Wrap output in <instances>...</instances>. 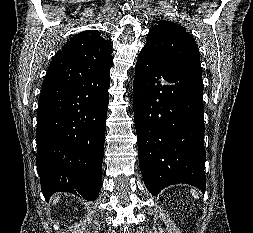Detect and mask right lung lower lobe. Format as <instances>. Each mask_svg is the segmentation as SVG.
<instances>
[{
	"instance_id": "right-lung-lower-lobe-1",
	"label": "right lung lower lobe",
	"mask_w": 253,
	"mask_h": 233,
	"mask_svg": "<svg viewBox=\"0 0 253 233\" xmlns=\"http://www.w3.org/2000/svg\"><path fill=\"white\" fill-rule=\"evenodd\" d=\"M109 84L110 70L42 86L36 165L46 200L59 191L98 197Z\"/></svg>"
}]
</instances>
